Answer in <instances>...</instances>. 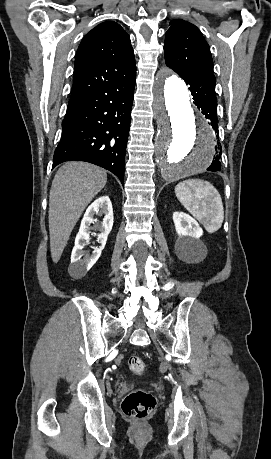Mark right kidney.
Masks as SVG:
<instances>
[{
    "label": "right kidney",
    "instance_id": "1",
    "mask_svg": "<svg viewBox=\"0 0 271 459\" xmlns=\"http://www.w3.org/2000/svg\"><path fill=\"white\" fill-rule=\"evenodd\" d=\"M102 214H104L103 222L94 220V216H102ZM113 218L112 204L108 196H100L98 200H95V202L87 208L80 229L75 237V245L71 253V263L68 267L71 277H75V279L84 277L90 267L96 263L98 257L101 255L102 249L105 247L107 235L112 229ZM91 224H94V226H91ZM90 229H98V231H100L96 241L101 243L99 247H95L94 251H92V255L83 251V247L90 237Z\"/></svg>",
    "mask_w": 271,
    "mask_h": 459
}]
</instances>
